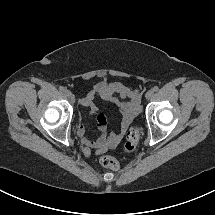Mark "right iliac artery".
<instances>
[{
	"label": "right iliac artery",
	"instance_id": "right-iliac-artery-1",
	"mask_svg": "<svg viewBox=\"0 0 215 215\" xmlns=\"http://www.w3.org/2000/svg\"><path fill=\"white\" fill-rule=\"evenodd\" d=\"M59 90L63 92V91H65V88L63 86H60Z\"/></svg>",
	"mask_w": 215,
	"mask_h": 215
}]
</instances>
